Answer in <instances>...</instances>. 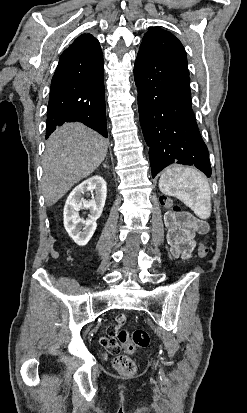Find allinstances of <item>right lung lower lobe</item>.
<instances>
[{
  "label": "right lung lower lobe",
  "instance_id": "98d812e1",
  "mask_svg": "<svg viewBox=\"0 0 247 413\" xmlns=\"http://www.w3.org/2000/svg\"><path fill=\"white\" fill-rule=\"evenodd\" d=\"M82 122L107 138L104 64L79 71L56 70L51 82L46 139L65 122Z\"/></svg>",
  "mask_w": 247,
  "mask_h": 413
}]
</instances>
